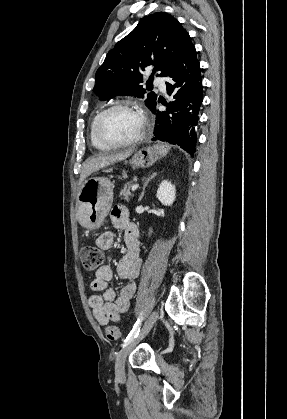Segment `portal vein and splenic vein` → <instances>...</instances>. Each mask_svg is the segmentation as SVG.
Segmentation results:
<instances>
[{
  "mask_svg": "<svg viewBox=\"0 0 287 419\" xmlns=\"http://www.w3.org/2000/svg\"><path fill=\"white\" fill-rule=\"evenodd\" d=\"M139 187V184H135V185H133V187H132V191H135V190H137V188Z\"/></svg>",
  "mask_w": 287,
  "mask_h": 419,
  "instance_id": "1",
  "label": "portal vein and splenic vein"
}]
</instances>
